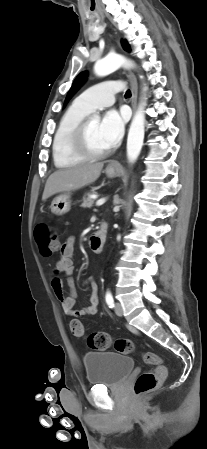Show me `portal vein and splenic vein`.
I'll use <instances>...</instances> for the list:
<instances>
[{"instance_id": "1", "label": "portal vein and splenic vein", "mask_w": 207, "mask_h": 449, "mask_svg": "<svg viewBox=\"0 0 207 449\" xmlns=\"http://www.w3.org/2000/svg\"><path fill=\"white\" fill-rule=\"evenodd\" d=\"M106 202V198H100L97 200L96 205L101 206Z\"/></svg>"}]
</instances>
